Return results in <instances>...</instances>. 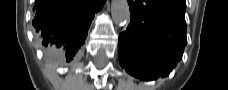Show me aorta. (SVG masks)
I'll return each mask as SVG.
<instances>
[{"instance_id":"aorta-1","label":"aorta","mask_w":228,"mask_h":90,"mask_svg":"<svg viewBox=\"0 0 228 90\" xmlns=\"http://www.w3.org/2000/svg\"><path fill=\"white\" fill-rule=\"evenodd\" d=\"M111 14L116 25L123 26L130 20V10L127 0H112Z\"/></svg>"}]
</instances>
